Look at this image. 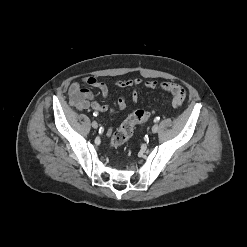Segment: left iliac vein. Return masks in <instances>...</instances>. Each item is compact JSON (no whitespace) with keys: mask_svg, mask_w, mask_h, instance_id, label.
<instances>
[{"mask_svg":"<svg viewBox=\"0 0 247 247\" xmlns=\"http://www.w3.org/2000/svg\"><path fill=\"white\" fill-rule=\"evenodd\" d=\"M158 130H159V126L157 124L153 125L152 132L156 133V132H158Z\"/></svg>","mask_w":247,"mask_h":247,"instance_id":"1","label":"left iliac vein"}]
</instances>
